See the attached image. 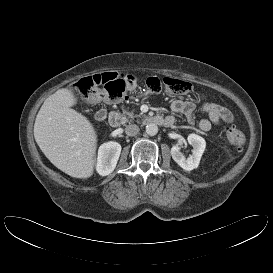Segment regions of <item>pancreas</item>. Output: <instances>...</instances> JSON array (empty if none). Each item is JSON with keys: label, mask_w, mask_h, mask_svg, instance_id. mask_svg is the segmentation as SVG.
Segmentation results:
<instances>
[{"label": "pancreas", "mask_w": 273, "mask_h": 273, "mask_svg": "<svg viewBox=\"0 0 273 273\" xmlns=\"http://www.w3.org/2000/svg\"><path fill=\"white\" fill-rule=\"evenodd\" d=\"M136 117L137 116H135L133 112L124 111L123 114H122L123 122H127V121L131 122ZM138 117H140V115Z\"/></svg>", "instance_id": "pancreas-1"}]
</instances>
